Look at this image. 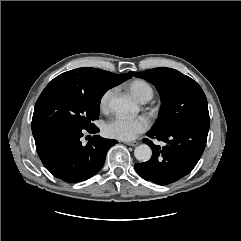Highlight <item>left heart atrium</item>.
I'll return each instance as SVG.
<instances>
[{"mask_svg":"<svg viewBox=\"0 0 241 241\" xmlns=\"http://www.w3.org/2000/svg\"><path fill=\"white\" fill-rule=\"evenodd\" d=\"M149 127L147 118L116 116L109 120L104 126V133L110 138L119 140H132L138 134L146 131Z\"/></svg>","mask_w":241,"mask_h":241,"instance_id":"left-heart-atrium-1","label":"left heart atrium"}]
</instances>
